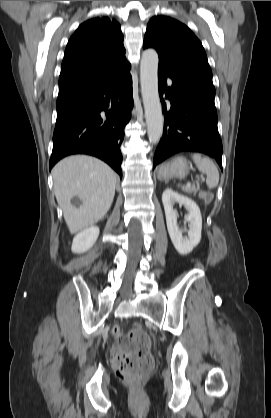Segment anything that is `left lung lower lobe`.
Here are the masks:
<instances>
[{
	"instance_id": "left-lung-lower-lobe-1",
	"label": "left lung lower lobe",
	"mask_w": 271,
	"mask_h": 418,
	"mask_svg": "<svg viewBox=\"0 0 271 418\" xmlns=\"http://www.w3.org/2000/svg\"><path fill=\"white\" fill-rule=\"evenodd\" d=\"M168 79L171 80L169 85ZM158 87L165 126L153 168L177 152L193 151L215 158L222 169V142L217 128L213 85L159 65ZM163 95L171 102L169 111Z\"/></svg>"
}]
</instances>
